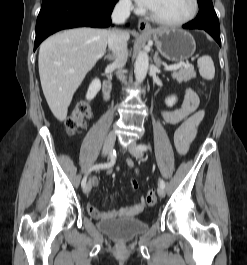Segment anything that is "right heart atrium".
<instances>
[{"label": "right heart atrium", "instance_id": "1", "mask_svg": "<svg viewBox=\"0 0 247 265\" xmlns=\"http://www.w3.org/2000/svg\"><path fill=\"white\" fill-rule=\"evenodd\" d=\"M120 4L125 9H131L132 8L130 0H120Z\"/></svg>", "mask_w": 247, "mask_h": 265}]
</instances>
